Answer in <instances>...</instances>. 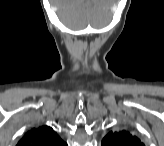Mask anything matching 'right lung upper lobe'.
Returning <instances> with one entry per match:
<instances>
[{"label":"right lung upper lobe","mask_w":164,"mask_h":146,"mask_svg":"<svg viewBox=\"0 0 164 146\" xmlns=\"http://www.w3.org/2000/svg\"><path fill=\"white\" fill-rule=\"evenodd\" d=\"M17 146H65L60 137L48 126L33 128L25 134Z\"/></svg>","instance_id":"right-lung-upper-lobe-1"}]
</instances>
